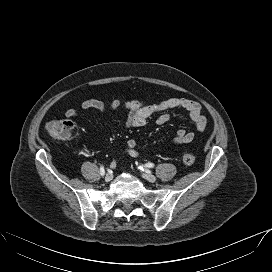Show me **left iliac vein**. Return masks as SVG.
<instances>
[{"label":"left iliac vein","mask_w":272,"mask_h":272,"mask_svg":"<svg viewBox=\"0 0 272 272\" xmlns=\"http://www.w3.org/2000/svg\"><path fill=\"white\" fill-rule=\"evenodd\" d=\"M143 178L146 179L147 181L154 183L156 181V177L152 174L144 173L142 174Z\"/></svg>","instance_id":"obj_1"}]
</instances>
